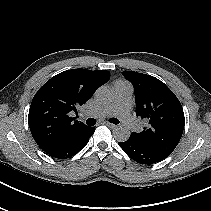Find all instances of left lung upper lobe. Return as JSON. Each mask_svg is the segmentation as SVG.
<instances>
[{"instance_id": "left-lung-upper-lobe-1", "label": "left lung upper lobe", "mask_w": 211, "mask_h": 211, "mask_svg": "<svg viewBox=\"0 0 211 211\" xmlns=\"http://www.w3.org/2000/svg\"><path fill=\"white\" fill-rule=\"evenodd\" d=\"M123 75L135 89L136 114L147 125L133 137L143 146L168 157L179 143L185 118L181 103L174 93L159 79L134 72L124 71Z\"/></svg>"}]
</instances>
